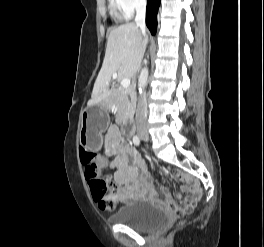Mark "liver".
Returning <instances> with one entry per match:
<instances>
[{
    "label": "liver",
    "mask_w": 264,
    "mask_h": 247,
    "mask_svg": "<svg viewBox=\"0 0 264 247\" xmlns=\"http://www.w3.org/2000/svg\"><path fill=\"white\" fill-rule=\"evenodd\" d=\"M147 34L134 23L121 25L109 34L102 68L97 76L88 106L104 101L114 74L119 80L131 79L140 69Z\"/></svg>",
    "instance_id": "1"
}]
</instances>
